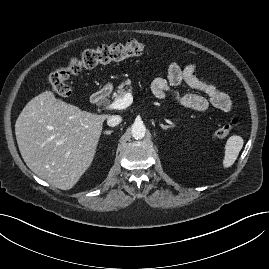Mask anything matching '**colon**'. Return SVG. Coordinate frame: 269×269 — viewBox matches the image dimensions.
I'll use <instances>...</instances> for the list:
<instances>
[{
  "label": "colon",
  "instance_id": "5ec220e1",
  "mask_svg": "<svg viewBox=\"0 0 269 269\" xmlns=\"http://www.w3.org/2000/svg\"><path fill=\"white\" fill-rule=\"evenodd\" d=\"M145 49L146 47L143 43L136 40H129L125 44H114L86 50L79 56L71 58L66 64L58 66L50 73V88L60 97H69L71 95V88L67 84V79L71 75L99 64L121 61L128 57L138 56ZM239 123L240 120L238 118H231L229 121L218 125L214 134L218 138H224L234 131Z\"/></svg>",
  "mask_w": 269,
  "mask_h": 269
}]
</instances>
